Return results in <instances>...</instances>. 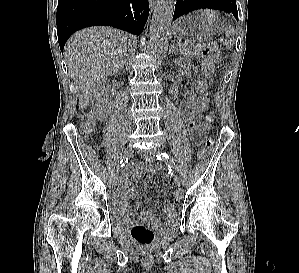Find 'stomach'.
Wrapping results in <instances>:
<instances>
[{"mask_svg":"<svg viewBox=\"0 0 299 273\" xmlns=\"http://www.w3.org/2000/svg\"><path fill=\"white\" fill-rule=\"evenodd\" d=\"M226 19L217 11L200 10L175 22V37L185 41L204 42L214 39L226 29Z\"/></svg>","mask_w":299,"mask_h":273,"instance_id":"obj_1","label":"stomach"}]
</instances>
